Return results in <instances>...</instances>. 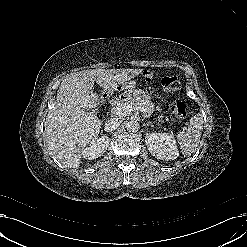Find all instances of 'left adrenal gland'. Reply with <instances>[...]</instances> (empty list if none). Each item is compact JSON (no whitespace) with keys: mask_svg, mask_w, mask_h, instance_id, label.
Listing matches in <instances>:
<instances>
[{"mask_svg":"<svg viewBox=\"0 0 247 247\" xmlns=\"http://www.w3.org/2000/svg\"><path fill=\"white\" fill-rule=\"evenodd\" d=\"M149 125L153 126L151 123H144L143 124V126H149Z\"/></svg>","mask_w":247,"mask_h":247,"instance_id":"1","label":"left adrenal gland"}]
</instances>
